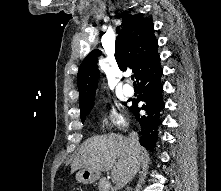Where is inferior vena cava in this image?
Returning a JSON list of instances; mask_svg holds the SVG:
<instances>
[{
	"label": "inferior vena cava",
	"instance_id": "inferior-vena-cava-1",
	"mask_svg": "<svg viewBox=\"0 0 221 191\" xmlns=\"http://www.w3.org/2000/svg\"><path fill=\"white\" fill-rule=\"evenodd\" d=\"M129 143H130V148H131V154H132V169H131V176L137 171L138 165H139V141H138V136L136 133L132 132L129 134L128 137ZM127 184V182L124 183V185Z\"/></svg>",
	"mask_w": 221,
	"mask_h": 191
}]
</instances>
